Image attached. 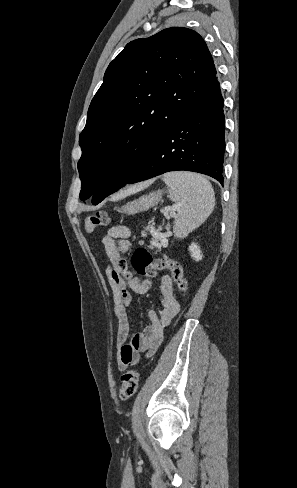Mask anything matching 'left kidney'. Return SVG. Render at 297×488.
Instances as JSON below:
<instances>
[{
	"mask_svg": "<svg viewBox=\"0 0 297 488\" xmlns=\"http://www.w3.org/2000/svg\"><path fill=\"white\" fill-rule=\"evenodd\" d=\"M189 251H190V255L191 257L195 260V261H199V260H202V252L199 248V246L196 244V243H192L190 246H189Z\"/></svg>",
	"mask_w": 297,
	"mask_h": 488,
	"instance_id": "5707ae66",
	"label": "left kidney"
}]
</instances>
